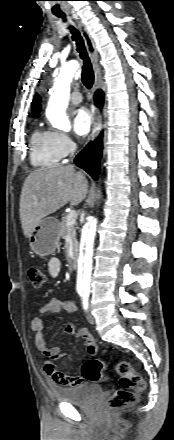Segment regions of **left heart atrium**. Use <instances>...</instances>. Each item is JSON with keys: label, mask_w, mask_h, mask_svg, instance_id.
<instances>
[{"label": "left heart atrium", "mask_w": 174, "mask_h": 440, "mask_svg": "<svg viewBox=\"0 0 174 440\" xmlns=\"http://www.w3.org/2000/svg\"><path fill=\"white\" fill-rule=\"evenodd\" d=\"M92 116L86 108H79L73 115V131L78 137H84L90 131Z\"/></svg>", "instance_id": "1"}]
</instances>
